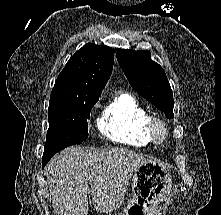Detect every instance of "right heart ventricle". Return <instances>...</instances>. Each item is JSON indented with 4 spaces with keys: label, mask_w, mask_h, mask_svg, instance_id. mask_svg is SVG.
<instances>
[{
    "label": "right heart ventricle",
    "mask_w": 221,
    "mask_h": 215,
    "mask_svg": "<svg viewBox=\"0 0 221 215\" xmlns=\"http://www.w3.org/2000/svg\"><path fill=\"white\" fill-rule=\"evenodd\" d=\"M150 116L133 95L120 93L102 112L98 128L112 142L147 148L153 143L148 132Z\"/></svg>",
    "instance_id": "1"
}]
</instances>
